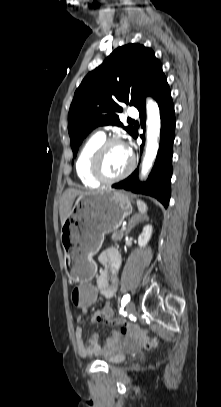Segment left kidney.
<instances>
[{"mask_svg":"<svg viewBox=\"0 0 221 407\" xmlns=\"http://www.w3.org/2000/svg\"><path fill=\"white\" fill-rule=\"evenodd\" d=\"M152 235V226L151 225H146L143 228L142 233L138 237V244L140 247H145Z\"/></svg>","mask_w":221,"mask_h":407,"instance_id":"1","label":"left kidney"}]
</instances>
